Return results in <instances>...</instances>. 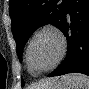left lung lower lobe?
Segmentation results:
<instances>
[{"mask_svg":"<svg viewBox=\"0 0 89 89\" xmlns=\"http://www.w3.org/2000/svg\"><path fill=\"white\" fill-rule=\"evenodd\" d=\"M61 31L69 45L67 56L48 76L68 73L89 76V0H69Z\"/></svg>","mask_w":89,"mask_h":89,"instance_id":"obj_1","label":"left lung lower lobe"}]
</instances>
